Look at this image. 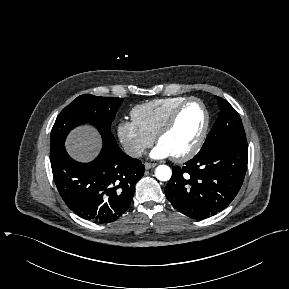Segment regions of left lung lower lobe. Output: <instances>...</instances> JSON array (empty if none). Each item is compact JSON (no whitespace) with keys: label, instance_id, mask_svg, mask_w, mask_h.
<instances>
[{"label":"left lung lower lobe","instance_id":"obj_1","mask_svg":"<svg viewBox=\"0 0 289 289\" xmlns=\"http://www.w3.org/2000/svg\"><path fill=\"white\" fill-rule=\"evenodd\" d=\"M248 161L247 142L221 141L185 166L173 167L165 187L174 208L193 219H204L225 209L240 190Z\"/></svg>","mask_w":289,"mask_h":289}]
</instances>
